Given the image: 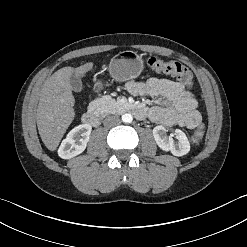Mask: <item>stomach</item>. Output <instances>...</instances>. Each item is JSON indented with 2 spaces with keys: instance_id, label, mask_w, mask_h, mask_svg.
Listing matches in <instances>:
<instances>
[{
  "instance_id": "0dacf381",
  "label": "stomach",
  "mask_w": 247,
  "mask_h": 247,
  "mask_svg": "<svg viewBox=\"0 0 247 247\" xmlns=\"http://www.w3.org/2000/svg\"><path fill=\"white\" fill-rule=\"evenodd\" d=\"M143 70V61L136 52L123 51L111 59L109 73L117 81L124 82L134 79Z\"/></svg>"
}]
</instances>
